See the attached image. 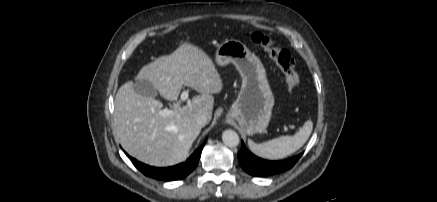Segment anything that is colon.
I'll return each mask as SVG.
<instances>
[{
	"mask_svg": "<svg viewBox=\"0 0 437 202\" xmlns=\"http://www.w3.org/2000/svg\"><path fill=\"white\" fill-rule=\"evenodd\" d=\"M248 39L264 49L268 56L276 63L285 76V83L292 93L299 85V76L295 68V61L290 52L278 46L275 41L262 32H251L247 34Z\"/></svg>",
	"mask_w": 437,
	"mask_h": 202,
	"instance_id": "1",
	"label": "colon"
}]
</instances>
